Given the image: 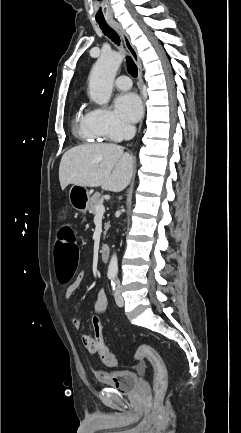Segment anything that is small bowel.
<instances>
[{"label": "small bowel", "mask_w": 241, "mask_h": 433, "mask_svg": "<svg viewBox=\"0 0 241 433\" xmlns=\"http://www.w3.org/2000/svg\"><path fill=\"white\" fill-rule=\"evenodd\" d=\"M84 271H81L76 278L74 279V281L67 287L65 294H64V298L68 301L71 296L73 295V293L75 292V290L79 287L80 283L82 282L83 278H84ZM107 306H108V299L106 296V293L104 291L103 288H99L97 290V294H96V301H95V312H99L100 314L104 313L107 310ZM72 325L74 328L79 329L81 327V321L79 318H73L72 319ZM82 341L84 346L88 349L87 347V342H92L94 341V337H92L91 335L88 334H83L82 335ZM90 352L95 353L96 351H92L90 349H88Z\"/></svg>", "instance_id": "small-bowel-1"}]
</instances>
